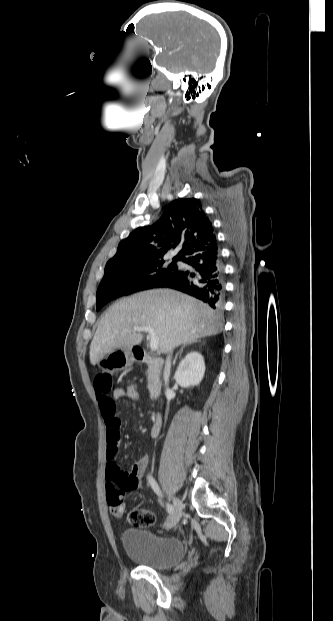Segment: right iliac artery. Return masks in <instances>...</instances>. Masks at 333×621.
Returning a JSON list of instances; mask_svg holds the SVG:
<instances>
[{
  "mask_svg": "<svg viewBox=\"0 0 333 621\" xmlns=\"http://www.w3.org/2000/svg\"><path fill=\"white\" fill-rule=\"evenodd\" d=\"M147 479H148V482H149L151 488L154 490V492L158 496H161V491H160L156 481L154 480V478L151 475H148ZM166 508H167V511H168L169 515H171L173 513V510H174L173 506L170 503H166Z\"/></svg>",
  "mask_w": 333,
  "mask_h": 621,
  "instance_id": "obj_1",
  "label": "right iliac artery"
}]
</instances>
